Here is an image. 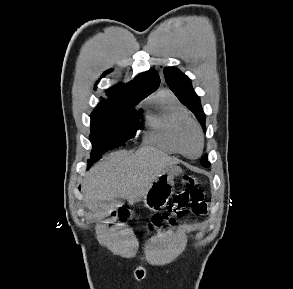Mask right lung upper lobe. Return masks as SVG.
<instances>
[{
  "mask_svg": "<svg viewBox=\"0 0 293 289\" xmlns=\"http://www.w3.org/2000/svg\"><path fill=\"white\" fill-rule=\"evenodd\" d=\"M159 83L158 73L151 69L138 75L127 84L116 85L107 90L109 99L103 101L99 106L112 105L129 100H141L153 93L159 87Z\"/></svg>",
  "mask_w": 293,
  "mask_h": 289,
  "instance_id": "cb5924a9",
  "label": "right lung upper lobe"
}]
</instances>
